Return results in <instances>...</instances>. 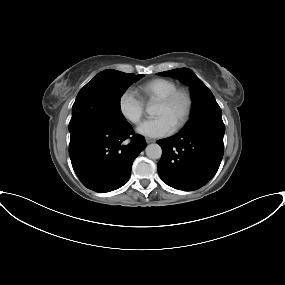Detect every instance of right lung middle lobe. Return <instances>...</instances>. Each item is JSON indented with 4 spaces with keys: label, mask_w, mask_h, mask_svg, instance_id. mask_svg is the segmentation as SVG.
I'll list each match as a JSON object with an SVG mask.
<instances>
[{
    "label": "right lung middle lobe",
    "mask_w": 285,
    "mask_h": 285,
    "mask_svg": "<svg viewBox=\"0 0 285 285\" xmlns=\"http://www.w3.org/2000/svg\"><path fill=\"white\" fill-rule=\"evenodd\" d=\"M143 76L112 69L97 74L76 97L69 131L87 122H100L112 127L127 125L121 113L120 98L133 82Z\"/></svg>",
    "instance_id": "right-lung-middle-lobe-1"
}]
</instances>
